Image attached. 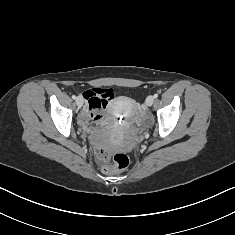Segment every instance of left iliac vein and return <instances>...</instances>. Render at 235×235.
I'll return each mask as SVG.
<instances>
[{"mask_svg":"<svg viewBox=\"0 0 235 235\" xmlns=\"http://www.w3.org/2000/svg\"><path fill=\"white\" fill-rule=\"evenodd\" d=\"M147 106H151L154 103V97L152 95L148 96L145 101Z\"/></svg>","mask_w":235,"mask_h":235,"instance_id":"left-iliac-vein-1","label":"left iliac vein"}]
</instances>
